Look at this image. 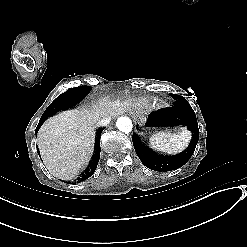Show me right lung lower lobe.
I'll list each match as a JSON object with an SVG mask.
<instances>
[{
    "label": "right lung lower lobe",
    "instance_id": "98d812e1",
    "mask_svg": "<svg viewBox=\"0 0 247 247\" xmlns=\"http://www.w3.org/2000/svg\"><path fill=\"white\" fill-rule=\"evenodd\" d=\"M47 118H48L47 116L41 117V119L37 125V128L35 130L36 133L38 132L39 128L42 126V124L44 123V121ZM102 131H103V128H100L97 130L96 145H95L94 154H93L92 159L89 162L86 170L82 173L81 177H78L77 182L83 181V180L91 177L96 170V167H97V164H98L99 158H100V135H101ZM37 151H38V149H37ZM38 154H39V151H38Z\"/></svg>",
    "mask_w": 247,
    "mask_h": 247
}]
</instances>
